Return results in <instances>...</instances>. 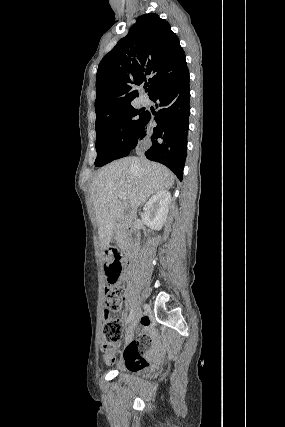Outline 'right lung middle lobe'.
Instances as JSON below:
<instances>
[{"label":"right lung middle lobe","instance_id":"dd1d6c3e","mask_svg":"<svg viewBox=\"0 0 285 427\" xmlns=\"http://www.w3.org/2000/svg\"><path fill=\"white\" fill-rule=\"evenodd\" d=\"M146 112L133 106L124 108L95 125L97 158L95 166H103L127 156L138 142Z\"/></svg>","mask_w":285,"mask_h":427}]
</instances>
